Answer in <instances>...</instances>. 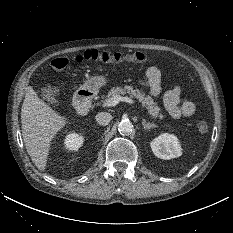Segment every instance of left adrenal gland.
Instances as JSON below:
<instances>
[{
  "instance_id": "obj_1",
  "label": "left adrenal gland",
  "mask_w": 233,
  "mask_h": 233,
  "mask_svg": "<svg viewBox=\"0 0 233 233\" xmlns=\"http://www.w3.org/2000/svg\"><path fill=\"white\" fill-rule=\"evenodd\" d=\"M142 125L144 129L156 128L157 125L154 123L146 122L145 120L142 121Z\"/></svg>"
}]
</instances>
